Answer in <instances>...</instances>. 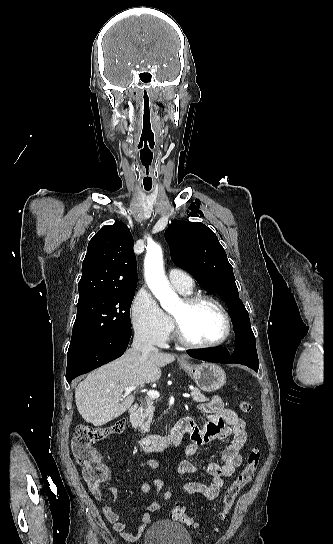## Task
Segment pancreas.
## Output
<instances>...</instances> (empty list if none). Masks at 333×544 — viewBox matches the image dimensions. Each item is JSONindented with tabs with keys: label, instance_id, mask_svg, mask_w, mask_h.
Instances as JSON below:
<instances>
[{
	"label": "pancreas",
	"instance_id": "1",
	"mask_svg": "<svg viewBox=\"0 0 333 544\" xmlns=\"http://www.w3.org/2000/svg\"><path fill=\"white\" fill-rule=\"evenodd\" d=\"M191 395L193 398V401L197 403H203L208 401L209 399L204 396L203 393L198 388L191 389ZM153 399H146L144 403L140 406L137 412V418H138V427L139 430L142 433H146L149 431L150 423L153 417L154 412V406H153Z\"/></svg>",
	"mask_w": 333,
	"mask_h": 544
}]
</instances>
